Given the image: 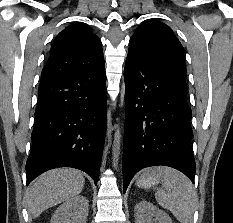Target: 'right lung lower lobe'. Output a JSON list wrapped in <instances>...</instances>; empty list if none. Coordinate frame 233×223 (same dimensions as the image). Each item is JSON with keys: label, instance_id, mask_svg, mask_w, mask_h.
Masks as SVG:
<instances>
[{"label": "right lung lower lobe", "instance_id": "right-lung-lower-lobe-1", "mask_svg": "<svg viewBox=\"0 0 233 223\" xmlns=\"http://www.w3.org/2000/svg\"><path fill=\"white\" fill-rule=\"evenodd\" d=\"M104 66L39 86L27 185L57 167L86 172L97 183L106 134Z\"/></svg>", "mask_w": 233, "mask_h": 223}]
</instances>
